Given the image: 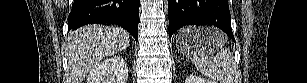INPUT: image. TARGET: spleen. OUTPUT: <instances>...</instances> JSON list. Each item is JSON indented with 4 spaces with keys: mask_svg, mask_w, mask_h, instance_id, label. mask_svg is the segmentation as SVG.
Returning <instances> with one entry per match:
<instances>
[{
    "mask_svg": "<svg viewBox=\"0 0 307 83\" xmlns=\"http://www.w3.org/2000/svg\"><path fill=\"white\" fill-rule=\"evenodd\" d=\"M201 30L207 39H214L222 44L227 39L221 31L215 28H201ZM190 56L196 70L213 79L214 82L237 83L236 64L229 49L221 48L215 56H212L200 46Z\"/></svg>",
    "mask_w": 307,
    "mask_h": 83,
    "instance_id": "1",
    "label": "spleen"
}]
</instances>
